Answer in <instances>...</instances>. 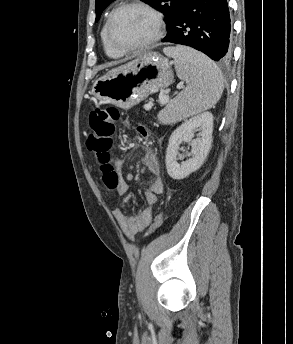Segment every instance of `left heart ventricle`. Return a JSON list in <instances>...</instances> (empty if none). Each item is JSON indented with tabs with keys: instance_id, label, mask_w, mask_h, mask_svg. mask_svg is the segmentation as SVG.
Wrapping results in <instances>:
<instances>
[{
	"instance_id": "1",
	"label": "left heart ventricle",
	"mask_w": 293,
	"mask_h": 344,
	"mask_svg": "<svg viewBox=\"0 0 293 344\" xmlns=\"http://www.w3.org/2000/svg\"><path fill=\"white\" fill-rule=\"evenodd\" d=\"M154 32L153 18L139 8H127L114 20L112 34L120 46L130 47L146 41Z\"/></svg>"
}]
</instances>
